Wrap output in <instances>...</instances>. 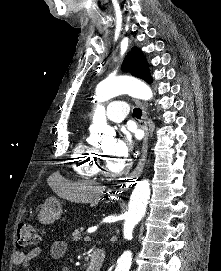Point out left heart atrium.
Listing matches in <instances>:
<instances>
[{"label":"left heart atrium","mask_w":221,"mask_h":271,"mask_svg":"<svg viewBox=\"0 0 221 271\" xmlns=\"http://www.w3.org/2000/svg\"><path fill=\"white\" fill-rule=\"evenodd\" d=\"M136 137L139 138L140 134L136 133ZM127 139V134H125ZM116 148H111L110 157H130L131 147H134V142H115Z\"/></svg>","instance_id":"left-heart-atrium-1"}]
</instances>
